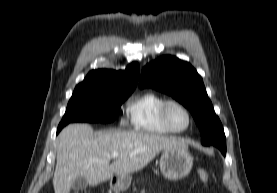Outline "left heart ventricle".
Wrapping results in <instances>:
<instances>
[{
  "label": "left heart ventricle",
  "mask_w": 277,
  "mask_h": 193,
  "mask_svg": "<svg viewBox=\"0 0 277 193\" xmlns=\"http://www.w3.org/2000/svg\"><path fill=\"white\" fill-rule=\"evenodd\" d=\"M168 119L175 129H184L188 124L186 113L177 105H171L168 109Z\"/></svg>",
  "instance_id": "1"
}]
</instances>
